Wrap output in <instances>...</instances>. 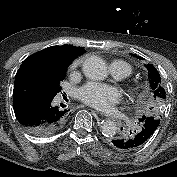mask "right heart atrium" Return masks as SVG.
Wrapping results in <instances>:
<instances>
[{
	"instance_id": "1",
	"label": "right heart atrium",
	"mask_w": 177,
	"mask_h": 177,
	"mask_svg": "<svg viewBox=\"0 0 177 177\" xmlns=\"http://www.w3.org/2000/svg\"><path fill=\"white\" fill-rule=\"evenodd\" d=\"M81 63H82V60H81V59L75 60V61L72 63V65H71V69H72V70L76 69Z\"/></svg>"
}]
</instances>
